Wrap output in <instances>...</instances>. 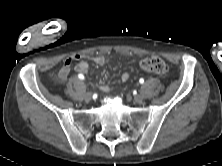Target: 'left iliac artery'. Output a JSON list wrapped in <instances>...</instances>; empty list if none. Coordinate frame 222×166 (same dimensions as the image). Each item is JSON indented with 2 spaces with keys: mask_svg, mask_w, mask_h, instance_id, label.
Instances as JSON below:
<instances>
[{
  "mask_svg": "<svg viewBox=\"0 0 222 166\" xmlns=\"http://www.w3.org/2000/svg\"><path fill=\"white\" fill-rule=\"evenodd\" d=\"M139 82H140L141 84H143V83H144V79L141 78V79L139 80Z\"/></svg>",
  "mask_w": 222,
  "mask_h": 166,
  "instance_id": "1",
  "label": "left iliac artery"
}]
</instances>
